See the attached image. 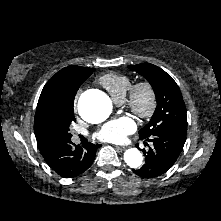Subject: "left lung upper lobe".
<instances>
[{"instance_id": "obj_1", "label": "left lung upper lobe", "mask_w": 221, "mask_h": 221, "mask_svg": "<svg viewBox=\"0 0 221 221\" xmlns=\"http://www.w3.org/2000/svg\"><path fill=\"white\" fill-rule=\"evenodd\" d=\"M128 68L143 75L152 86L157 107L149 123L139 131L140 139L159 132L187 130V115L182 94L173 78L150 63L129 65Z\"/></svg>"}]
</instances>
